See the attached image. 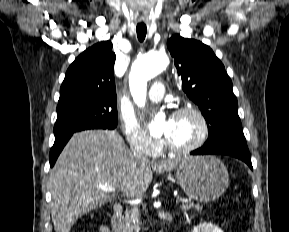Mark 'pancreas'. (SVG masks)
<instances>
[{
	"mask_svg": "<svg viewBox=\"0 0 289 232\" xmlns=\"http://www.w3.org/2000/svg\"><path fill=\"white\" fill-rule=\"evenodd\" d=\"M193 207V204H185L182 209L189 210ZM195 209L200 210L199 206H195ZM122 228L124 232H139V211L136 207L125 212L123 218Z\"/></svg>",
	"mask_w": 289,
	"mask_h": 232,
	"instance_id": "pancreas-1",
	"label": "pancreas"
}]
</instances>
